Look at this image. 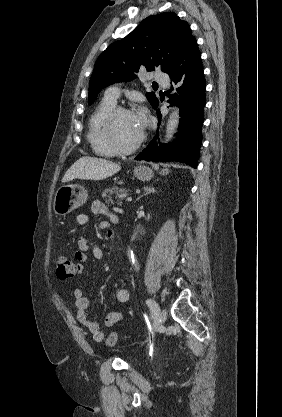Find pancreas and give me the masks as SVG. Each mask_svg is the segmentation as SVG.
I'll list each match as a JSON object with an SVG mask.
<instances>
[{"label":"pancreas","mask_w":282,"mask_h":417,"mask_svg":"<svg viewBox=\"0 0 282 417\" xmlns=\"http://www.w3.org/2000/svg\"><path fill=\"white\" fill-rule=\"evenodd\" d=\"M129 190L127 188H118V186H112V188H105L102 192V196L106 202H114L112 200L114 194H116L115 198L117 200V204H123L122 200L125 198L123 194H128Z\"/></svg>","instance_id":"cf45deb5"}]
</instances>
